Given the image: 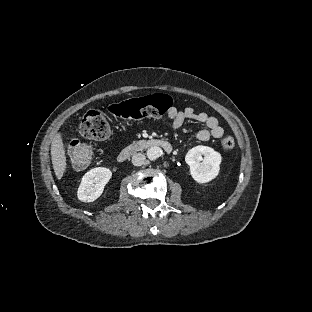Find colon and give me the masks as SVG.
I'll return each instance as SVG.
<instances>
[{"mask_svg": "<svg viewBox=\"0 0 312 312\" xmlns=\"http://www.w3.org/2000/svg\"><path fill=\"white\" fill-rule=\"evenodd\" d=\"M174 105L173 98L168 94L147 95L138 99H129L116 103L110 107L112 115L121 120L136 121L145 118L158 119ZM79 133L91 139L102 140L111 132L110 123L104 114L96 109L88 110L78 124ZM74 163L84 167L92 158V151L84 145L66 143ZM235 147V139L227 136L222 140V148L230 151Z\"/></svg>", "mask_w": 312, "mask_h": 312, "instance_id": "colon-1", "label": "colon"}]
</instances>
